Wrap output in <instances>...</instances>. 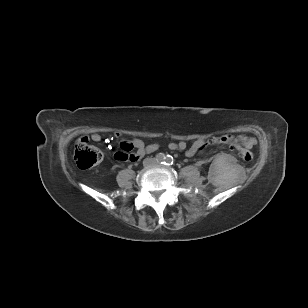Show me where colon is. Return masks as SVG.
Wrapping results in <instances>:
<instances>
[{"label": "colon", "instance_id": "5ec220e1", "mask_svg": "<svg viewBox=\"0 0 308 308\" xmlns=\"http://www.w3.org/2000/svg\"><path fill=\"white\" fill-rule=\"evenodd\" d=\"M223 144L231 149L239 151L240 156L245 161H251L254 157L251 148L255 143L249 138L242 136L224 135L213 137L205 142V145ZM204 145V146H205ZM132 147L130 145L121 143L119 150L114 153V158L117 161L123 162L133 160L134 154L131 153ZM103 159V153L98 148L90 145L89 140L81 137L76 144L74 152V160L79 168L90 169L98 165Z\"/></svg>", "mask_w": 308, "mask_h": 308}]
</instances>
